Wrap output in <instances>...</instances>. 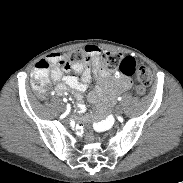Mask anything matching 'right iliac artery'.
Masks as SVG:
<instances>
[{
    "label": "right iliac artery",
    "instance_id": "1",
    "mask_svg": "<svg viewBox=\"0 0 183 183\" xmlns=\"http://www.w3.org/2000/svg\"><path fill=\"white\" fill-rule=\"evenodd\" d=\"M63 101H64V102H67V99H66V98H63Z\"/></svg>",
    "mask_w": 183,
    "mask_h": 183
}]
</instances>
